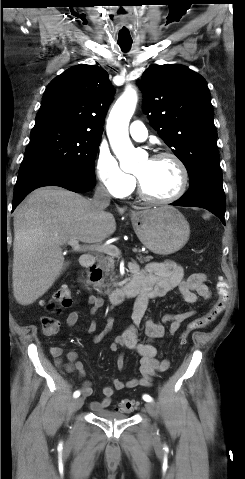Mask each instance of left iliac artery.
Masks as SVG:
<instances>
[{
    "label": "left iliac artery",
    "mask_w": 245,
    "mask_h": 479,
    "mask_svg": "<svg viewBox=\"0 0 245 479\" xmlns=\"http://www.w3.org/2000/svg\"><path fill=\"white\" fill-rule=\"evenodd\" d=\"M143 399H144L146 402H151V401H152V398H151L149 395H147V394L143 395Z\"/></svg>",
    "instance_id": "44dca946"
}]
</instances>
